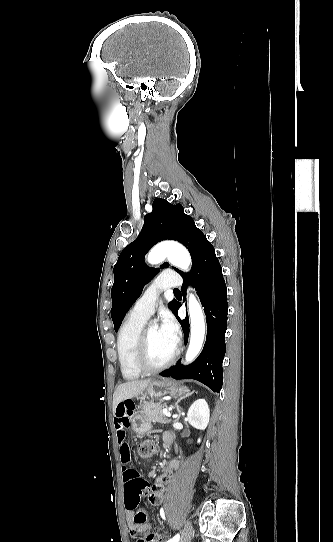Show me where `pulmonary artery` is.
Here are the masks:
<instances>
[{"instance_id":"pulmonary-artery-1","label":"pulmonary artery","mask_w":333,"mask_h":542,"mask_svg":"<svg viewBox=\"0 0 333 542\" xmlns=\"http://www.w3.org/2000/svg\"><path fill=\"white\" fill-rule=\"evenodd\" d=\"M164 272L165 274L158 276L159 282L151 280L150 284L145 286V294L137 299L130 309L129 315L135 318H149L155 311L162 289H178L182 286L181 276L174 274L173 267H166Z\"/></svg>"}]
</instances>
